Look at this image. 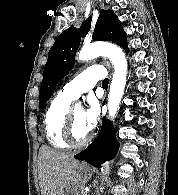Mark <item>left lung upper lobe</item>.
Listing matches in <instances>:
<instances>
[{
    "label": "left lung upper lobe",
    "mask_w": 178,
    "mask_h": 195,
    "mask_svg": "<svg viewBox=\"0 0 178 195\" xmlns=\"http://www.w3.org/2000/svg\"><path fill=\"white\" fill-rule=\"evenodd\" d=\"M90 16L79 29L70 27L55 40L48 53L43 80L39 92V109L43 111L45 102L51 97L58 81L72 69L75 54L80 45V37H85L91 28ZM94 40L117 43L128 52L127 36L121 22L112 10H101L95 25Z\"/></svg>",
    "instance_id": "obj_1"
}]
</instances>
